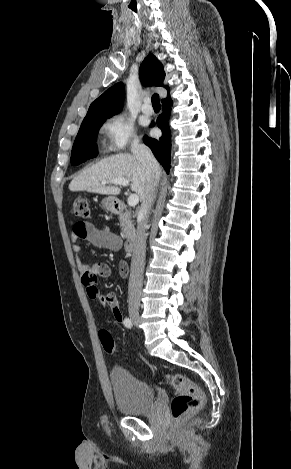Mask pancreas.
<instances>
[{"label":"pancreas","mask_w":291,"mask_h":469,"mask_svg":"<svg viewBox=\"0 0 291 469\" xmlns=\"http://www.w3.org/2000/svg\"><path fill=\"white\" fill-rule=\"evenodd\" d=\"M119 221L121 226V236L127 240H133L135 236V227L131 219V212L124 209V212L119 215Z\"/></svg>","instance_id":"cf45deb5"}]
</instances>
